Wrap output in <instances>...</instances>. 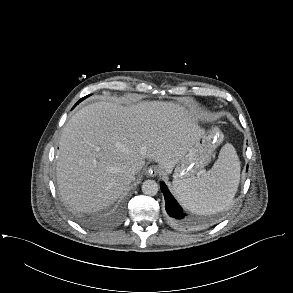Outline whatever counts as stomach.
<instances>
[{
    "label": "stomach",
    "mask_w": 293,
    "mask_h": 293,
    "mask_svg": "<svg viewBox=\"0 0 293 293\" xmlns=\"http://www.w3.org/2000/svg\"><path fill=\"white\" fill-rule=\"evenodd\" d=\"M223 139V134L218 128H212L180 158L173 174V186L180 182L188 181L195 177L211 160V157Z\"/></svg>",
    "instance_id": "1"
}]
</instances>
